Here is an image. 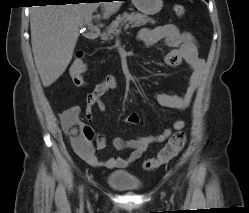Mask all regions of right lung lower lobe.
Here are the masks:
<instances>
[{
    "label": "right lung lower lobe",
    "mask_w": 249,
    "mask_h": 213,
    "mask_svg": "<svg viewBox=\"0 0 249 213\" xmlns=\"http://www.w3.org/2000/svg\"><path fill=\"white\" fill-rule=\"evenodd\" d=\"M79 0H46V2H51L55 4H65V3H78ZM112 1V0H110Z\"/></svg>",
    "instance_id": "1"
}]
</instances>
